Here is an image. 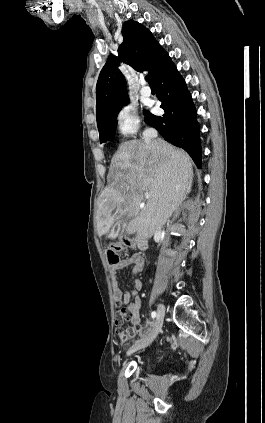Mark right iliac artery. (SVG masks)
I'll return each instance as SVG.
<instances>
[{
    "mask_svg": "<svg viewBox=\"0 0 265 423\" xmlns=\"http://www.w3.org/2000/svg\"><path fill=\"white\" fill-rule=\"evenodd\" d=\"M151 316H152V318H155V317H156V312H155V311H153V312L151 313Z\"/></svg>",
    "mask_w": 265,
    "mask_h": 423,
    "instance_id": "right-iliac-artery-1",
    "label": "right iliac artery"
}]
</instances>
